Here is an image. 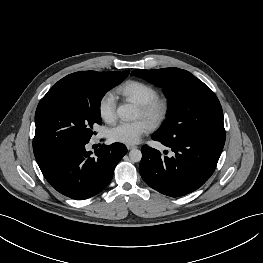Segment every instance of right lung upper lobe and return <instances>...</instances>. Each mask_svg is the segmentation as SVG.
Here are the masks:
<instances>
[{
    "instance_id": "right-lung-upper-lobe-1",
    "label": "right lung upper lobe",
    "mask_w": 263,
    "mask_h": 263,
    "mask_svg": "<svg viewBox=\"0 0 263 263\" xmlns=\"http://www.w3.org/2000/svg\"><path fill=\"white\" fill-rule=\"evenodd\" d=\"M128 71V70H126ZM129 72V71H128ZM103 73V72H101ZM100 74L96 71H83V72H76L67 75L66 77L59 80L51 89L56 88H64V87H71L81 84L85 80L91 78L92 76Z\"/></svg>"
}]
</instances>
